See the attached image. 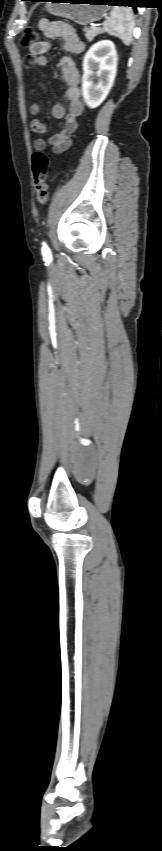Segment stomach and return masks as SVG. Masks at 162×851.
<instances>
[{
  "instance_id": "1",
  "label": "stomach",
  "mask_w": 162,
  "mask_h": 851,
  "mask_svg": "<svg viewBox=\"0 0 162 851\" xmlns=\"http://www.w3.org/2000/svg\"><path fill=\"white\" fill-rule=\"evenodd\" d=\"M107 0H51L46 9L52 15L87 25L102 19L108 10Z\"/></svg>"
}]
</instances>
